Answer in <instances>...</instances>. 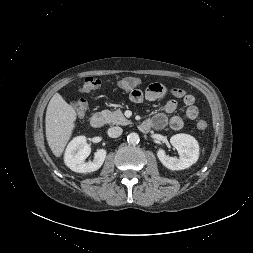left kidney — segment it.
<instances>
[{
  "instance_id": "left-kidney-1",
  "label": "left kidney",
  "mask_w": 253,
  "mask_h": 253,
  "mask_svg": "<svg viewBox=\"0 0 253 253\" xmlns=\"http://www.w3.org/2000/svg\"><path fill=\"white\" fill-rule=\"evenodd\" d=\"M180 158L166 155L163 149L157 151V157L161 163L170 170H183L197 162L199 158V144L197 140L188 134H176L170 138Z\"/></svg>"
}]
</instances>
